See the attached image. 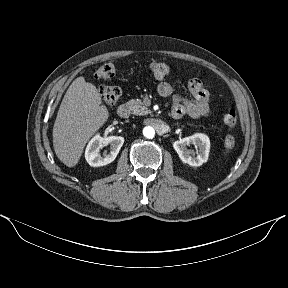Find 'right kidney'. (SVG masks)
<instances>
[{
	"label": "right kidney",
	"mask_w": 288,
	"mask_h": 288,
	"mask_svg": "<svg viewBox=\"0 0 288 288\" xmlns=\"http://www.w3.org/2000/svg\"><path fill=\"white\" fill-rule=\"evenodd\" d=\"M123 143L124 138L121 136L101 137L96 135L87 145L85 159L92 167L107 165L115 160ZM105 145H110V152H104L103 156H101L99 150Z\"/></svg>",
	"instance_id": "right-kidney-1"
}]
</instances>
